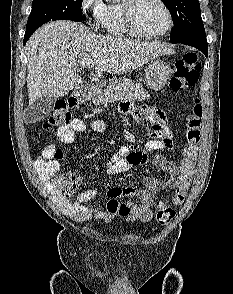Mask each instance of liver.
<instances>
[{
  "label": "liver",
  "mask_w": 233,
  "mask_h": 294,
  "mask_svg": "<svg viewBox=\"0 0 233 294\" xmlns=\"http://www.w3.org/2000/svg\"><path fill=\"white\" fill-rule=\"evenodd\" d=\"M26 46L30 106L43 95L59 98L78 87L82 83L79 66L83 59L93 60L95 70L122 75L171 53L156 41L98 35L71 21L44 25Z\"/></svg>",
  "instance_id": "obj_1"
}]
</instances>
